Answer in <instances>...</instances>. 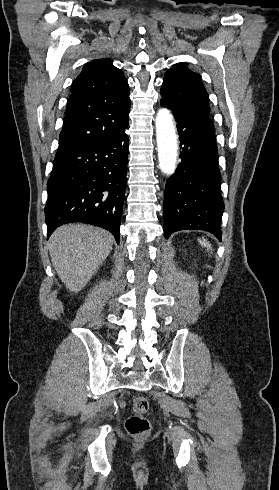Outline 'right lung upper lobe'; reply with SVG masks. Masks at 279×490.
Segmentation results:
<instances>
[{
    "label": "right lung upper lobe",
    "instance_id": "cb5924a9",
    "mask_svg": "<svg viewBox=\"0 0 279 490\" xmlns=\"http://www.w3.org/2000/svg\"><path fill=\"white\" fill-rule=\"evenodd\" d=\"M129 86L111 59L87 63L71 87L56 156L93 144L128 125Z\"/></svg>",
    "mask_w": 279,
    "mask_h": 490
}]
</instances>
